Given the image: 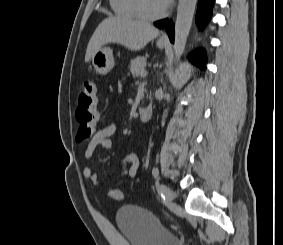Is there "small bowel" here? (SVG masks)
Wrapping results in <instances>:
<instances>
[{"label": "small bowel", "mask_w": 283, "mask_h": 245, "mask_svg": "<svg viewBox=\"0 0 283 245\" xmlns=\"http://www.w3.org/2000/svg\"><path fill=\"white\" fill-rule=\"evenodd\" d=\"M117 129L118 125L116 123H111L105 128L96 132L84 149L85 158L91 159L96 148L98 147H101L105 150L111 149L113 145L112 138ZM140 163V157L136 153H129L125 155L122 159L121 177H135L139 171ZM83 175L94 185H99L101 183V178L99 177V175L96 174L89 166H86L83 169Z\"/></svg>", "instance_id": "small-bowel-1"}]
</instances>
